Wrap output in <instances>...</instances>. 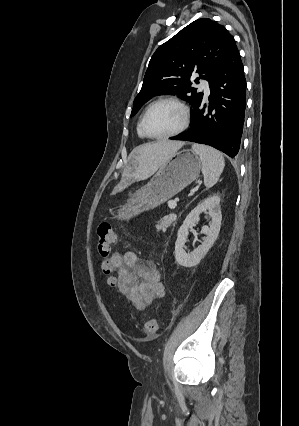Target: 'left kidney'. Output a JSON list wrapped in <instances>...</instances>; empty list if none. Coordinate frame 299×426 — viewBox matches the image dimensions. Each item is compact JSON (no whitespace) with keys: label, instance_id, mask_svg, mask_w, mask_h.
<instances>
[{"label":"left kidney","instance_id":"5707ae66","mask_svg":"<svg viewBox=\"0 0 299 426\" xmlns=\"http://www.w3.org/2000/svg\"><path fill=\"white\" fill-rule=\"evenodd\" d=\"M204 211H208L211 217L209 226H203L201 230V233L206 235L204 242L195 248L193 252L186 253L183 248L186 243L189 227L199 221V217ZM221 220L220 197L218 195L206 198L187 215L178 230L175 242V259L179 265L194 267L199 264L216 241L221 227Z\"/></svg>","mask_w":299,"mask_h":426}]
</instances>
